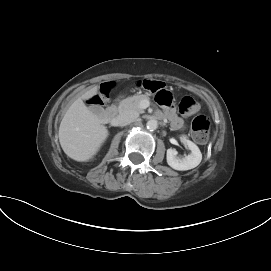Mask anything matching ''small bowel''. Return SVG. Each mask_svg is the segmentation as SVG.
Segmentation results:
<instances>
[{
	"mask_svg": "<svg viewBox=\"0 0 271 271\" xmlns=\"http://www.w3.org/2000/svg\"><path fill=\"white\" fill-rule=\"evenodd\" d=\"M166 115L169 118V120L171 121L173 127L175 128H181L182 127V120L178 117V115L176 114L175 110L172 107H168L166 109Z\"/></svg>",
	"mask_w": 271,
	"mask_h": 271,
	"instance_id": "obj_1",
	"label": "small bowel"
}]
</instances>
